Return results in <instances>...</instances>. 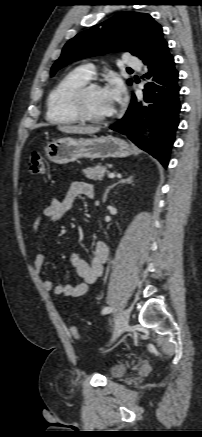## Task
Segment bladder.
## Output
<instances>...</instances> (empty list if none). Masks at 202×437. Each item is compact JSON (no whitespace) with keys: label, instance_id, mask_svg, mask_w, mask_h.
I'll list each match as a JSON object with an SVG mask.
<instances>
[{"label":"bladder","instance_id":"1","mask_svg":"<svg viewBox=\"0 0 202 437\" xmlns=\"http://www.w3.org/2000/svg\"><path fill=\"white\" fill-rule=\"evenodd\" d=\"M127 366L122 363H117L110 368V376L117 378L125 374Z\"/></svg>","mask_w":202,"mask_h":437}]
</instances>
